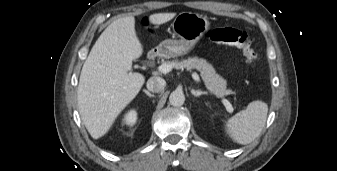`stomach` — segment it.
Segmentation results:
<instances>
[{"label":"stomach","instance_id":"1","mask_svg":"<svg viewBox=\"0 0 337 171\" xmlns=\"http://www.w3.org/2000/svg\"><path fill=\"white\" fill-rule=\"evenodd\" d=\"M210 26L209 20L197 13H179L172 29L179 39H167L160 43L159 50L165 57L183 56L190 52Z\"/></svg>","mask_w":337,"mask_h":171}]
</instances>
